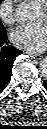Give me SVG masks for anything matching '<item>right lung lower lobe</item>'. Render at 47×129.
Masks as SVG:
<instances>
[{"instance_id":"right-lung-lower-lobe-1","label":"right lung lower lobe","mask_w":47,"mask_h":129,"mask_svg":"<svg viewBox=\"0 0 47 129\" xmlns=\"http://www.w3.org/2000/svg\"><path fill=\"white\" fill-rule=\"evenodd\" d=\"M7 40L6 33L0 35V46ZM22 51L12 47L3 46L0 52V92L8 85L12 73L13 62Z\"/></svg>"}]
</instances>
